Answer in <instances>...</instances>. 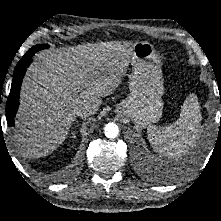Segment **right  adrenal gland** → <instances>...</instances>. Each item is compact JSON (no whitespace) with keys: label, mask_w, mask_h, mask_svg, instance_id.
I'll return each mask as SVG.
<instances>
[{"label":"right adrenal gland","mask_w":221,"mask_h":221,"mask_svg":"<svg viewBox=\"0 0 221 221\" xmlns=\"http://www.w3.org/2000/svg\"><path fill=\"white\" fill-rule=\"evenodd\" d=\"M73 134V137H75V133H72Z\"/></svg>","instance_id":"obj_1"}]
</instances>
